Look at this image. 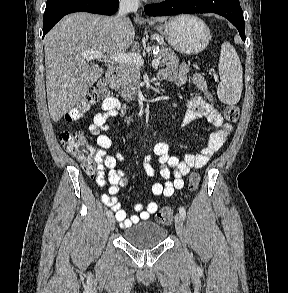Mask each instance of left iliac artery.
<instances>
[{"label":"left iliac artery","mask_w":288,"mask_h":293,"mask_svg":"<svg viewBox=\"0 0 288 293\" xmlns=\"http://www.w3.org/2000/svg\"><path fill=\"white\" fill-rule=\"evenodd\" d=\"M179 213L182 216V218L185 219L186 211H185L184 207H182V206L179 207Z\"/></svg>","instance_id":"1"}]
</instances>
